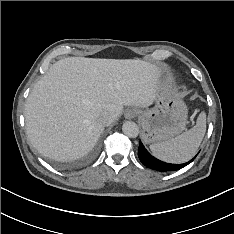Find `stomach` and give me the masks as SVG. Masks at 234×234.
Here are the masks:
<instances>
[{
	"instance_id": "1",
	"label": "stomach",
	"mask_w": 234,
	"mask_h": 234,
	"mask_svg": "<svg viewBox=\"0 0 234 234\" xmlns=\"http://www.w3.org/2000/svg\"><path fill=\"white\" fill-rule=\"evenodd\" d=\"M155 106L140 114L142 138L146 143H159L180 134L187 124L188 110L173 91L169 79H158Z\"/></svg>"
}]
</instances>
